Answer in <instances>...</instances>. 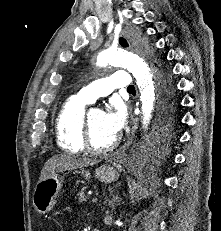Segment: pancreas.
I'll return each instance as SVG.
<instances>
[{
    "label": "pancreas",
    "mask_w": 221,
    "mask_h": 231,
    "mask_svg": "<svg viewBox=\"0 0 221 231\" xmlns=\"http://www.w3.org/2000/svg\"><path fill=\"white\" fill-rule=\"evenodd\" d=\"M86 187L81 189V192L78 193V200L80 203L85 202L88 199V196L85 194Z\"/></svg>",
    "instance_id": "1"
}]
</instances>
